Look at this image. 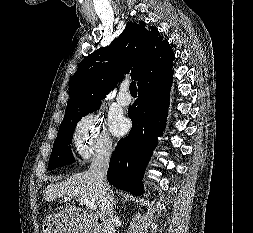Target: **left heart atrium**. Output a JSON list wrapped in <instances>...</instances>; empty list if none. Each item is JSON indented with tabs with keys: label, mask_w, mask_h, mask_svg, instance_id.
Masks as SVG:
<instances>
[{
	"label": "left heart atrium",
	"mask_w": 253,
	"mask_h": 233,
	"mask_svg": "<svg viewBox=\"0 0 253 233\" xmlns=\"http://www.w3.org/2000/svg\"><path fill=\"white\" fill-rule=\"evenodd\" d=\"M110 127L115 135H123L129 129V123L121 116H114L110 120Z\"/></svg>",
	"instance_id": "1"
}]
</instances>
